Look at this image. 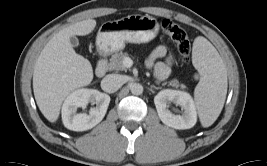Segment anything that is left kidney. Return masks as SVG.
<instances>
[{
    "label": "left kidney",
    "instance_id": "1",
    "mask_svg": "<svg viewBox=\"0 0 267 166\" xmlns=\"http://www.w3.org/2000/svg\"><path fill=\"white\" fill-rule=\"evenodd\" d=\"M154 103L160 120L167 126L174 129H189L197 122L195 103L187 92L165 89L154 97ZM174 103L180 106L184 113L175 115L169 110Z\"/></svg>",
    "mask_w": 267,
    "mask_h": 166
}]
</instances>
